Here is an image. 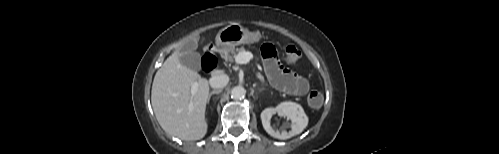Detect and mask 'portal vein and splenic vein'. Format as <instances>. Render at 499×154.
<instances>
[{
    "label": "portal vein and splenic vein",
    "mask_w": 499,
    "mask_h": 154,
    "mask_svg": "<svg viewBox=\"0 0 499 154\" xmlns=\"http://www.w3.org/2000/svg\"><path fill=\"white\" fill-rule=\"evenodd\" d=\"M253 55L250 52H240L235 56V62L237 64H247L251 59ZM197 90V85L193 84L191 87V93L194 94Z\"/></svg>",
    "instance_id": "portal-vein-and-splenic-vein-1"
}]
</instances>
